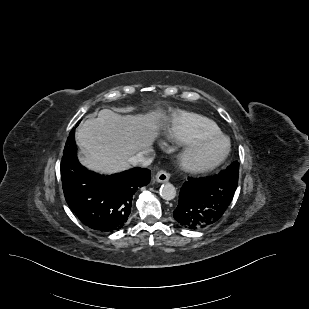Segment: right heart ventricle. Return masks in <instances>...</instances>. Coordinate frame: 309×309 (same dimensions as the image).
Instances as JSON below:
<instances>
[{"label": "right heart ventricle", "mask_w": 309, "mask_h": 309, "mask_svg": "<svg viewBox=\"0 0 309 309\" xmlns=\"http://www.w3.org/2000/svg\"><path fill=\"white\" fill-rule=\"evenodd\" d=\"M219 127L198 114L183 112L176 115L166 130V137L177 143H186L198 136L218 134Z\"/></svg>", "instance_id": "e07e8e85"}]
</instances>
